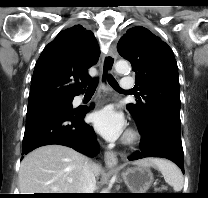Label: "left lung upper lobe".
<instances>
[{
  "mask_svg": "<svg viewBox=\"0 0 208 198\" xmlns=\"http://www.w3.org/2000/svg\"><path fill=\"white\" fill-rule=\"evenodd\" d=\"M119 54L136 73L135 88L140 91L136 103L127 105L139 131L156 118L180 126L178 67L171 48L142 26L127 30L118 42Z\"/></svg>",
  "mask_w": 208,
  "mask_h": 198,
  "instance_id": "left-lung-upper-lobe-1",
  "label": "left lung upper lobe"
}]
</instances>
